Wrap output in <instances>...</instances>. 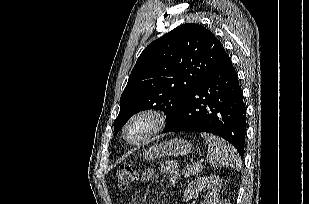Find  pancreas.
I'll list each match as a JSON object with an SVG mask.
<instances>
[{"instance_id": "pancreas-1", "label": "pancreas", "mask_w": 309, "mask_h": 204, "mask_svg": "<svg viewBox=\"0 0 309 204\" xmlns=\"http://www.w3.org/2000/svg\"><path fill=\"white\" fill-rule=\"evenodd\" d=\"M203 166L200 163H192L190 165L186 166V169L182 170V174L185 175V177L194 176L198 173H200L203 170Z\"/></svg>"}]
</instances>
